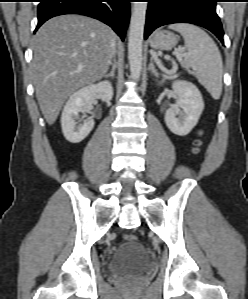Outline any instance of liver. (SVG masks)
Returning <instances> with one entry per match:
<instances>
[{"mask_svg": "<svg viewBox=\"0 0 248 299\" xmlns=\"http://www.w3.org/2000/svg\"><path fill=\"white\" fill-rule=\"evenodd\" d=\"M115 40L107 25L82 15L54 17L38 30L31 70L36 98L49 125L72 93L105 76Z\"/></svg>", "mask_w": 248, "mask_h": 299, "instance_id": "liver-1", "label": "liver"}]
</instances>
